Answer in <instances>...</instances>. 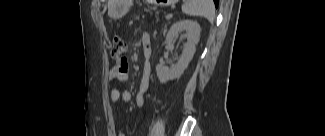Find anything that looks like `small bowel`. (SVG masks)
<instances>
[{"label": "small bowel", "instance_id": "c3829d8e", "mask_svg": "<svg viewBox=\"0 0 325 136\" xmlns=\"http://www.w3.org/2000/svg\"><path fill=\"white\" fill-rule=\"evenodd\" d=\"M143 42L149 47L150 37L145 35L143 37ZM109 80L118 83H126L129 80V63L127 59L123 58L119 60L113 68L109 71ZM150 82V63L145 61L143 71L140 77V90L135 96V103L138 107L142 108L145 106V94L149 87ZM131 93L129 91H120L117 88H113L110 91V101L112 103H117L119 101L128 102L131 100ZM123 136L122 133L118 134Z\"/></svg>", "mask_w": 325, "mask_h": 136}]
</instances>
